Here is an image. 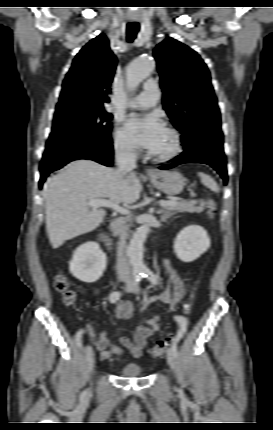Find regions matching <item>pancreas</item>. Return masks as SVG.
Here are the masks:
<instances>
[{"label":"pancreas","mask_w":273,"mask_h":430,"mask_svg":"<svg viewBox=\"0 0 273 430\" xmlns=\"http://www.w3.org/2000/svg\"><path fill=\"white\" fill-rule=\"evenodd\" d=\"M205 207L204 201H196V200H181L177 201V203L173 206H166L165 209L173 212H189V213H201L203 212ZM126 221H131V218H118L113 223L115 228V233H119L121 227Z\"/></svg>","instance_id":"cf45deb5"}]
</instances>
